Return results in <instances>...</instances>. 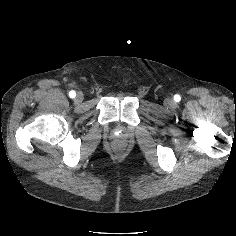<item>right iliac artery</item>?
Returning a JSON list of instances; mask_svg holds the SVG:
<instances>
[{
    "label": "right iliac artery",
    "instance_id": "right-iliac-artery-1",
    "mask_svg": "<svg viewBox=\"0 0 236 236\" xmlns=\"http://www.w3.org/2000/svg\"><path fill=\"white\" fill-rule=\"evenodd\" d=\"M69 96H70V98H74L76 96L75 91H70Z\"/></svg>",
    "mask_w": 236,
    "mask_h": 236
}]
</instances>
